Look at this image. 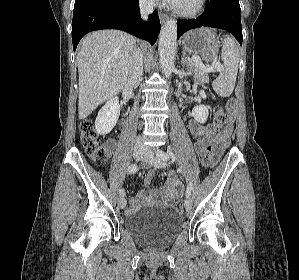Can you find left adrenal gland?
I'll use <instances>...</instances> for the list:
<instances>
[{
    "label": "left adrenal gland",
    "instance_id": "a2214340",
    "mask_svg": "<svg viewBox=\"0 0 299 280\" xmlns=\"http://www.w3.org/2000/svg\"><path fill=\"white\" fill-rule=\"evenodd\" d=\"M189 65V62H188V59L186 57V52L184 51L183 52V56H182V59H181V65L182 67H185L186 65ZM189 69V68H188Z\"/></svg>",
    "mask_w": 299,
    "mask_h": 280
}]
</instances>
